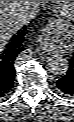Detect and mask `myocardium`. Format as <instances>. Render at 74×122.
Listing matches in <instances>:
<instances>
[{"mask_svg":"<svg viewBox=\"0 0 74 122\" xmlns=\"http://www.w3.org/2000/svg\"><path fill=\"white\" fill-rule=\"evenodd\" d=\"M58 9L64 14H70L74 11V1H54Z\"/></svg>","mask_w":74,"mask_h":122,"instance_id":"f54148a6","label":"myocardium"}]
</instances>
